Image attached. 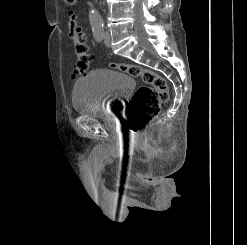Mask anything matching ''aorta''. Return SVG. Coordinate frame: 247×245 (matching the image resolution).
<instances>
[{
	"label": "aorta",
	"mask_w": 247,
	"mask_h": 245,
	"mask_svg": "<svg viewBox=\"0 0 247 245\" xmlns=\"http://www.w3.org/2000/svg\"><path fill=\"white\" fill-rule=\"evenodd\" d=\"M89 21H90V23L92 25H101V24H103V19H102L101 15L94 8H91L90 11H89Z\"/></svg>",
	"instance_id": "762f6f07"
}]
</instances>
